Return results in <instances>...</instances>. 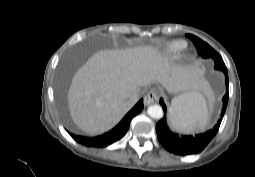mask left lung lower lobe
<instances>
[{"instance_id": "left-lung-lower-lobe-1", "label": "left lung lower lobe", "mask_w": 255, "mask_h": 177, "mask_svg": "<svg viewBox=\"0 0 255 177\" xmlns=\"http://www.w3.org/2000/svg\"><path fill=\"white\" fill-rule=\"evenodd\" d=\"M227 91L223 96V107L221 111V118L218 120L215 127L205 133L197 134V135H180L172 132L167 125L166 115L157 123L156 131L158 135V139L162 146L169 152L176 155H191L197 154L201 152L209 142L214 138L217 134L222 118L224 116L227 104H228V75H226L225 79ZM160 104L163 107L164 113H166V106L163 102V99H160Z\"/></svg>"}]
</instances>
